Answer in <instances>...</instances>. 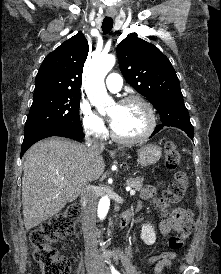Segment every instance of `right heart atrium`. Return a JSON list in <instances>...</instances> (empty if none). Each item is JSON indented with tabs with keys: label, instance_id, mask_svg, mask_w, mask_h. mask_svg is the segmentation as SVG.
Returning <instances> with one entry per match:
<instances>
[{
	"label": "right heart atrium",
	"instance_id": "d8ad5b80",
	"mask_svg": "<svg viewBox=\"0 0 221 274\" xmlns=\"http://www.w3.org/2000/svg\"><path fill=\"white\" fill-rule=\"evenodd\" d=\"M80 116L83 130L87 136L94 139H102L104 137L106 133L105 124L88 103L84 102L81 104Z\"/></svg>",
	"mask_w": 221,
	"mask_h": 274
}]
</instances>
